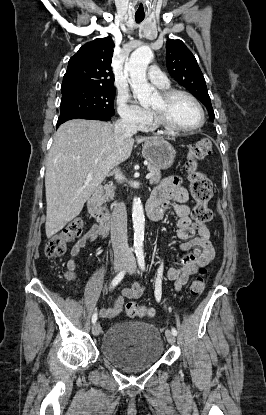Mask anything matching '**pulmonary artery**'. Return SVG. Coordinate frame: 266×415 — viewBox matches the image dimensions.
Instances as JSON below:
<instances>
[{
	"label": "pulmonary artery",
	"mask_w": 266,
	"mask_h": 415,
	"mask_svg": "<svg viewBox=\"0 0 266 415\" xmlns=\"http://www.w3.org/2000/svg\"><path fill=\"white\" fill-rule=\"evenodd\" d=\"M148 78L158 87H165L169 84L167 77L157 67H151L149 69Z\"/></svg>",
	"instance_id": "e3ab8cb5"
}]
</instances>
